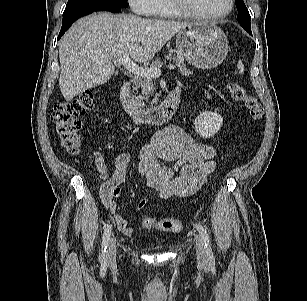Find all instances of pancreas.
<instances>
[{"mask_svg":"<svg viewBox=\"0 0 307 301\" xmlns=\"http://www.w3.org/2000/svg\"><path fill=\"white\" fill-rule=\"evenodd\" d=\"M168 60H172L176 66L178 67V71L186 76L189 77L193 73L188 69L184 63V58L177 55H167L165 57ZM161 64L160 59H155L151 63V67H158ZM133 83V92L135 94V98L138 99L139 101H145L149 105H154L157 103L158 98L157 94L155 93V86L153 83L152 78H147V77H142V76H135L134 79L132 80Z\"/></svg>","mask_w":307,"mask_h":301,"instance_id":"1","label":"pancreas"}]
</instances>
